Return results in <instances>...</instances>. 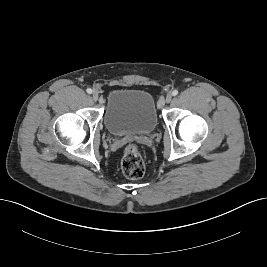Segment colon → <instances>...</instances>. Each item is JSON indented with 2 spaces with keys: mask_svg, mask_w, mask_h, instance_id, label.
<instances>
[{
  "mask_svg": "<svg viewBox=\"0 0 267 267\" xmlns=\"http://www.w3.org/2000/svg\"><path fill=\"white\" fill-rule=\"evenodd\" d=\"M123 174L129 179H139L145 173V164L140 150L135 144H128L124 151L121 161Z\"/></svg>",
  "mask_w": 267,
  "mask_h": 267,
  "instance_id": "1",
  "label": "colon"
}]
</instances>
